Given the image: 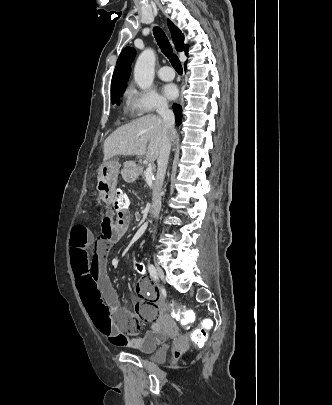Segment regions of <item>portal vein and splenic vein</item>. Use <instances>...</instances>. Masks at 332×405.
<instances>
[{"mask_svg":"<svg viewBox=\"0 0 332 405\" xmlns=\"http://www.w3.org/2000/svg\"><path fill=\"white\" fill-rule=\"evenodd\" d=\"M153 168L152 165L149 164L148 167L146 168L144 175L146 177L147 180H151L152 176H153Z\"/></svg>","mask_w":332,"mask_h":405,"instance_id":"18ae733b","label":"portal vein and splenic vein"}]
</instances>
